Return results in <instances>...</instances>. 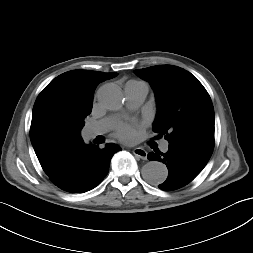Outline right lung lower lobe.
Returning <instances> with one entry per match:
<instances>
[{
    "instance_id": "98d812e1",
    "label": "right lung lower lobe",
    "mask_w": 253,
    "mask_h": 253,
    "mask_svg": "<svg viewBox=\"0 0 253 253\" xmlns=\"http://www.w3.org/2000/svg\"><path fill=\"white\" fill-rule=\"evenodd\" d=\"M121 148L108 143L105 148L81 143L65 158L60 170L51 181L71 193H83L100 184L106 177L110 160Z\"/></svg>"
}]
</instances>
